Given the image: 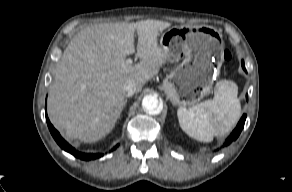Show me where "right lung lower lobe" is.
Returning <instances> with one entry per match:
<instances>
[{
    "label": "right lung lower lobe",
    "mask_w": 292,
    "mask_h": 192,
    "mask_svg": "<svg viewBox=\"0 0 292 192\" xmlns=\"http://www.w3.org/2000/svg\"><path fill=\"white\" fill-rule=\"evenodd\" d=\"M46 121H47V125L49 127V130L53 136V138L55 139V141L58 143V145L64 149L65 151L69 152L70 154H72L73 156H75L76 158L82 159V160H91V159H96L102 156V154H85V153H81L76 151L72 146H70L59 134V132L52 126V124L50 123L48 117H47V113H46ZM117 147V146H116ZM116 147H114V149H116Z\"/></svg>",
    "instance_id": "98d812e1"
}]
</instances>
